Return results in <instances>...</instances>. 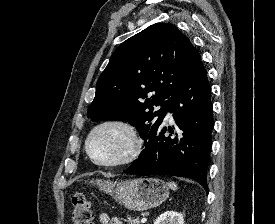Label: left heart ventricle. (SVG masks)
Segmentation results:
<instances>
[{"label":"left heart ventricle","mask_w":275,"mask_h":224,"mask_svg":"<svg viewBox=\"0 0 275 224\" xmlns=\"http://www.w3.org/2000/svg\"><path fill=\"white\" fill-rule=\"evenodd\" d=\"M131 148L127 132L116 126L97 131L90 141V150L99 161L112 162L125 157Z\"/></svg>","instance_id":"obj_1"}]
</instances>
